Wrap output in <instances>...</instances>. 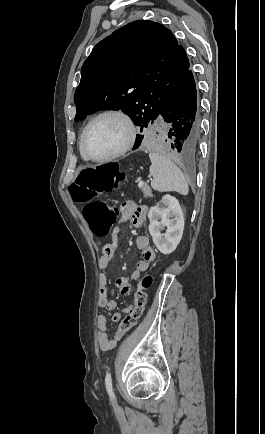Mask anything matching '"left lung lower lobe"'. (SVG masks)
<instances>
[{
	"instance_id": "obj_1",
	"label": "left lung lower lobe",
	"mask_w": 265,
	"mask_h": 434,
	"mask_svg": "<svg viewBox=\"0 0 265 434\" xmlns=\"http://www.w3.org/2000/svg\"><path fill=\"white\" fill-rule=\"evenodd\" d=\"M158 118L164 119L169 124L167 133L170 139L169 148L183 155L196 153L201 125L196 84L190 68L163 103ZM142 139V135H137L133 150L140 146Z\"/></svg>"
}]
</instances>
